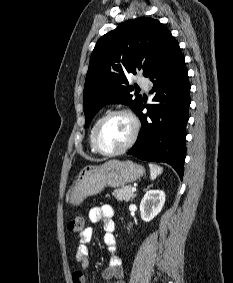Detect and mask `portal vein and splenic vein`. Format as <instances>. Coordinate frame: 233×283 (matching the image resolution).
Segmentation results:
<instances>
[{
    "label": "portal vein and splenic vein",
    "mask_w": 233,
    "mask_h": 283,
    "mask_svg": "<svg viewBox=\"0 0 233 283\" xmlns=\"http://www.w3.org/2000/svg\"><path fill=\"white\" fill-rule=\"evenodd\" d=\"M132 192H136V188L135 187H132Z\"/></svg>",
    "instance_id": "obj_1"
}]
</instances>
